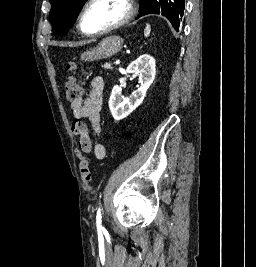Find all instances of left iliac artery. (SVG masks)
Returning <instances> with one entry per match:
<instances>
[{"instance_id": "obj_1", "label": "left iliac artery", "mask_w": 256, "mask_h": 267, "mask_svg": "<svg viewBox=\"0 0 256 267\" xmlns=\"http://www.w3.org/2000/svg\"><path fill=\"white\" fill-rule=\"evenodd\" d=\"M101 209L98 208V211H97V216H96V223H97V226H99L101 224Z\"/></svg>"}]
</instances>
